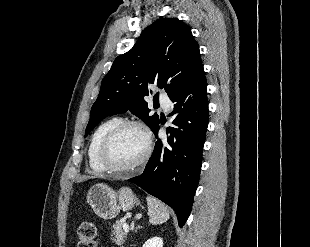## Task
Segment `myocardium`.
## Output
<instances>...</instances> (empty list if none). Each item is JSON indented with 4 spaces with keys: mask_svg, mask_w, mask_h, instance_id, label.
Wrapping results in <instances>:
<instances>
[{
    "mask_svg": "<svg viewBox=\"0 0 310 247\" xmlns=\"http://www.w3.org/2000/svg\"><path fill=\"white\" fill-rule=\"evenodd\" d=\"M134 127L142 131L145 137V149L140 158L133 164L126 167H115L109 163L108 152L115 137L124 129ZM152 152V137L149 129L141 122L134 120H121L104 137L98 150V160L101 166L110 174L123 175L134 172L149 159Z\"/></svg>",
    "mask_w": 310,
    "mask_h": 247,
    "instance_id": "1",
    "label": "myocardium"
}]
</instances>
